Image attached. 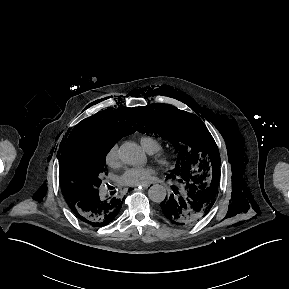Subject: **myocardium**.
<instances>
[{
  "label": "myocardium",
  "mask_w": 289,
  "mask_h": 289,
  "mask_svg": "<svg viewBox=\"0 0 289 289\" xmlns=\"http://www.w3.org/2000/svg\"><path fill=\"white\" fill-rule=\"evenodd\" d=\"M153 160L161 168H171L175 164V156L170 152H158L153 155Z\"/></svg>",
  "instance_id": "f54148a6"
}]
</instances>
